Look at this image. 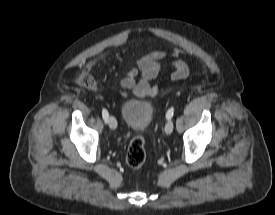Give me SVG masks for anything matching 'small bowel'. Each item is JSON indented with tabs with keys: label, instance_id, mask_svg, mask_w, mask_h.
<instances>
[{
	"label": "small bowel",
	"instance_id": "c3829d8e",
	"mask_svg": "<svg viewBox=\"0 0 275 215\" xmlns=\"http://www.w3.org/2000/svg\"><path fill=\"white\" fill-rule=\"evenodd\" d=\"M164 69H170L171 81H179L187 77L189 73L188 64L183 59V51L175 48L170 57L164 50L156 49L142 57L136 64L129 67L126 74L120 80V94L127 97V90H132L137 97H154L159 92V86L152 81ZM138 71L141 72L140 78L137 80Z\"/></svg>",
	"mask_w": 275,
	"mask_h": 215
}]
</instances>
